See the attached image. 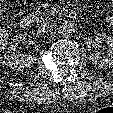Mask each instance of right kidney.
<instances>
[{"label": "right kidney", "instance_id": "right-kidney-1", "mask_svg": "<svg viewBox=\"0 0 113 113\" xmlns=\"http://www.w3.org/2000/svg\"><path fill=\"white\" fill-rule=\"evenodd\" d=\"M26 41V37L17 34L8 46V50L4 55V63L13 70L23 71L30 69L36 61V57L32 54H19L18 44Z\"/></svg>", "mask_w": 113, "mask_h": 113}]
</instances>
